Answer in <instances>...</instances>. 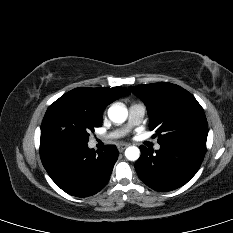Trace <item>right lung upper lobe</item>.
Instances as JSON below:
<instances>
[{"instance_id":"1","label":"right lung upper lobe","mask_w":233,"mask_h":233,"mask_svg":"<svg viewBox=\"0 0 233 233\" xmlns=\"http://www.w3.org/2000/svg\"><path fill=\"white\" fill-rule=\"evenodd\" d=\"M129 94L130 91L124 87H80L75 88L64 95L90 114L102 117V112L107 105L117 100L121 96Z\"/></svg>"}]
</instances>
